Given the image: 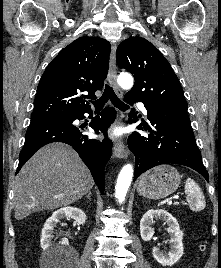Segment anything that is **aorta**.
Returning a JSON list of instances; mask_svg holds the SVG:
<instances>
[{
    "instance_id": "1",
    "label": "aorta",
    "mask_w": 221,
    "mask_h": 268,
    "mask_svg": "<svg viewBox=\"0 0 221 268\" xmlns=\"http://www.w3.org/2000/svg\"><path fill=\"white\" fill-rule=\"evenodd\" d=\"M118 84L124 89H130L133 86V77L128 73H121L117 78ZM133 178V166L131 164H126L121 169L117 183L115 186V196L119 203H123L127 195V191L131 185Z\"/></svg>"
}]
</instances>
